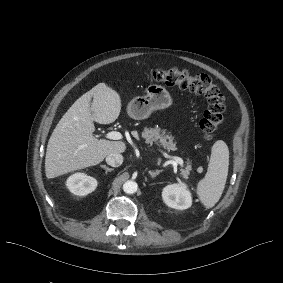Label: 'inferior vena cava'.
<instances>
[{
  "label": "inferior vena cava",
  "mask_w": 283,
  "mask_h": 283,
  "mask_svg": "<svg viewBox=\"0 0 283 283\" xmlns=\"http://www.w3.org/2000/svg\"><path fill=\"white\" fill-rule=\"evenodd\" d=\"M107 164L118 167L123 163V156L119 153H112L106 157Z\"/></svg>",
  "instance_id": "obj_1"
}]
</instances>
